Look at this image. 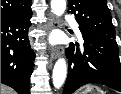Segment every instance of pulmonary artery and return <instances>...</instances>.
Segmentation results:
<instances>
[{
  "instance_id": "1",
  "label": "pulmonary artery",
  "mask_w": 121,
  "mask_h": 94,
  "mask_svg": "<svg viewBox=\"0 0 121 94\" xmlns=\"http://www.w3.org/2000/svg\"><path fill=\"white\" fill-rule=\"evenodd\" d=\"M66 20L71 24V26L74 28L75 32L77 33V35L79 37H81V32L79 30V27H78V23L76 22V20L73 18V17H66Z\"/></svg>"
}]
</instances>
